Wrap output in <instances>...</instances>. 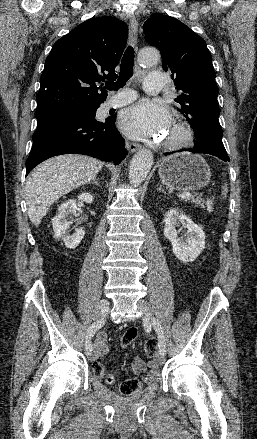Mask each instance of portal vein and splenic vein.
I'll use <instances>...</instances> for the list:
<instances>
[{
  "label": "portal vein and splenic vein",
  "instance_id": "1",
  "mask_svg": "<svg viewBox=\"0 0 257 439\" xmlns=\"http://www.w3.org/2000/svg\"><path fill=\"white\" fill-rule=\"evenodd\" d=\"M191 196H192V194L190 192H184V193L179 195V198L186 199V198H189Z\"/></svg>",
  "mask_w": 257,
  "mask_h": 439
}]
</instances>
